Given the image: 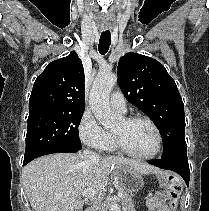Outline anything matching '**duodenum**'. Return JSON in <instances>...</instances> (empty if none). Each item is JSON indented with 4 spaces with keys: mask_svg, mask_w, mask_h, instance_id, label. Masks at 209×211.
Here are the masks:
<instances>
[{
    "mask_svg": "<svg viewBox=\"0 0 209 211\" xmlns=\"http://www.w3.org/2000/svg\"><path fill=\"white\" fill-rule=\"evenodd\" d=\"M85 211H91L90 209H86Z\"/></svg>",
    "mask_w": 209,
    "mask_h": 211,
    "instance_id": "410a0bca",
    "label": "duodenum"
}]
</instances>
